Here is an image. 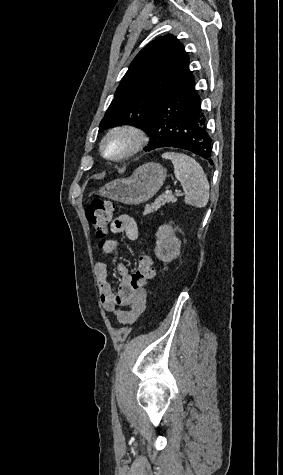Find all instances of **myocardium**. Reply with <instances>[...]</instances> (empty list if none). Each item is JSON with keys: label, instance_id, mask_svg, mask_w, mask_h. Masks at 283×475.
Returning <instances> with one entry per match:
<instances>
[{"label": "myocardium", "instance_id": "obj_1", "mask_svg": "<svg viewBox=\"0 0 283 475\" xmlns=\"http://www.w3.org/2000/svg\"><path fill=\"white\" fill-rule=\"evenodd\" d=\"M117 137L125 138L127 140V146L121 153L109 155L105 150V146L109 140ZM147 139L148 135L143 127L135 124H120L106 132L101 139L99 148L101 155L106 160L122 161L138 154L145 146Z\"/></svg>", "mask_w": 283, "mask_h": 475}]
</instances>
